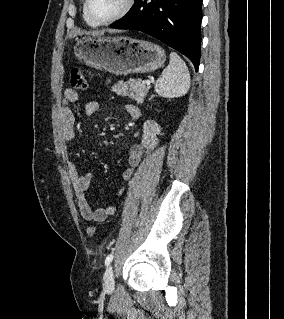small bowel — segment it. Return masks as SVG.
I'll return each instance as SVG.
<instances>
[{
	"instance_id": "small-bowel-1",
	"label": "small bowel",
	"mask_w": 284,
	"mask_h": 319,
	"mask_svg": "<svg viewBox=\"0 0 284 319\" xmlns=\"http://www.w3.org/2000/svg\"><path fill=\"white\" fill-rule=\"evenodd\" d=\"M78 93L68 88L64 91L62 105L60 109V123L62 135L65 141L71 142L75 138V116L72 106L78 101ZM99 109V104L90 101L85 105L87 115H93ZM126 110L133 120L141 118V111L134 105H127ZM161 133L160 125L153 120H147L142 125V138L139 143L133 144L128 149L127 166L122 173L123 180L128 182L134 170L140 164L142 158L152 152L158 145V138ZM69 174L73 184L75 199L81 216L86 221L103 222L107 217L115 213L113 205L92 208L89 204L86 193L90 188L93 174L91 172L80 174L74 164L69 166Z\"/></svg>"
}]
</instances>
